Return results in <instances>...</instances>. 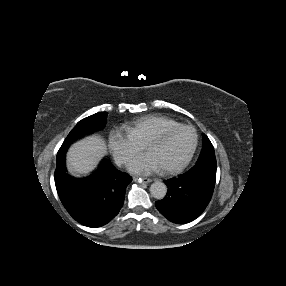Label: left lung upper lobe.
<instances>
[{"instance_id": "5c2ea615", "label": "left lung upper lobe", "mask_w": 286, "mask_h": 286, "mask_svg": "<svg viewBox=\"0 0 286 286\" xmlns=\"http://www.w3.org/2000/svg\"><path fill=\"white\" fill-rule=\"evenodd\" d=\"M215 158L214 147L207 136L203 137V147L197 162H201L206 159Z\"/></svg>"}]
</instances>
